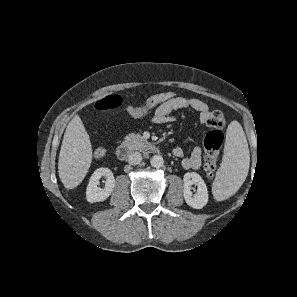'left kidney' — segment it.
Masks as SVG:
<instances>
[{
  "mask_svg": "<svg viewBox=\"0 0 297 297\" xmlns=\"http://www.w3.org/2000/svg\"><path fill=\"white\" fill-rule=\"evenodd\" d=\"M183 181V195L186 203L194 209L203 208L208 202V190L202 177L196 172H187L184 174ZM192 185L197 186L194 194L191 191Z\"/></svg>",
  "mask_w": 297,
  "mask_h": 297,
  "instance_id": "1",
  "label": "left kidney"
}]
</instances>
